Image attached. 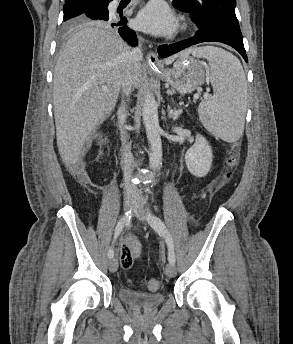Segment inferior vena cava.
Instances as JSON below:
<instances>
[{"instance_id":"602c4592","label":"inferior vena cava","mask_w":293,"mask_h":344,"mask_svg":"<svg viewBox=\"0 0 293 344\" xmlns=\"http://www.w3.org/2000/svg\"><path fill=\"white\" fill-rule=\"evenodd\" d=\"M143 59L142 52L139 47H135L130 52V67L126 72L122 81V93L123 96L128 97L131 94V89L134 86V79L137 72L140 69V61ZM119 119L122 123L126 121L127 110L126 104L123 101L119 107ZM122 136V150H121V165L124 176V193L128 198H137L141 196L140 190L131 182L133 171V158L131 155V146L127 144V134L124 130H121Z\"/></svg>"}]
</instances>
